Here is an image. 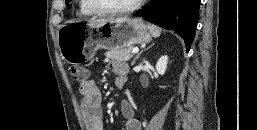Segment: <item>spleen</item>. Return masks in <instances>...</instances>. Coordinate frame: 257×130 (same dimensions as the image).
<instances>
[{"mask_svg": "<svg viewBox=\"0 0 257 130\" xmlns=\"http://www.w3.org/2000/svg\"><path fill=\"white\" fill-rule=\"evenodd\" d=\"M148 29H149V31H150V33L152 34L153 37L157 38V37L160 36L161 30L158 27L149 24Z\"/></svg>", "mask_w": 257, "mask_h": 130, "instance_id": "3e777b00", "label": "spleen"}]
</instances>
